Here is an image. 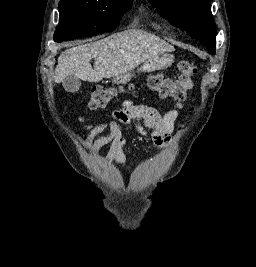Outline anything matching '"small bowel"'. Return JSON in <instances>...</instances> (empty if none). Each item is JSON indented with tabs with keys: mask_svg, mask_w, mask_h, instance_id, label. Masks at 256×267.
I'll use <instances>...</instances> for the list:
<instances>
[{
	"mask_svg": "<svg viewBox=\"0 0 256 267\" xmlns=\"http://www.w3.org/2000/svg\"><path fill=\"white\" fill-rule=\"evenodd\" d=\"M182 106L181 102H176L172 108L159 112L152 108L138 106L130 100H125L119 109L113 111L110 120L101 121L94 126L85 125L81 132L87 133L85 143L92 152H97L103 146L110 145L106 162L125 167L127 141L118 123L133 125L144 137L148 136V131H150L151 140L163 151L170 144L179 109ZM106 128L109 129L108 135L93 140V137Z\"/></svg>",
	"mask_w": 256,
	"mask_h": 267,
	"instance_id": "1",
	"label": "small bowel"
}]
</instances>
